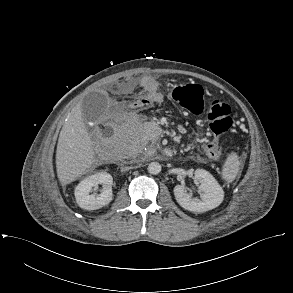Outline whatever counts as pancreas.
I'll return each mask as SVG.
<instances>
[{
    "label": "pancreas",
    "instance_id": "pancreas-1",
    "mask_svg": "<svg viewBox=\"0 0 293 293\" xmlns=\"http://www.w3.org/2000/svg\"><path fill=\"white\" fill-rule=\"evenodd\" d=\"M130 134H133V133H130ZM153 143H156V141H154Z\"/></svg>",
    "mask_w": 293,
    "mask_h": 293
}]
</instances>
